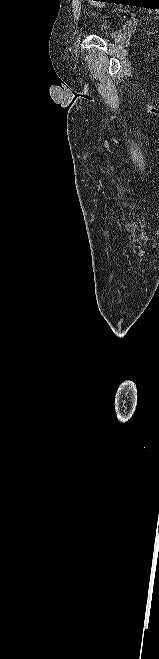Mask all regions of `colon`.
Wrapping results in <instances>:
<instances>
[{"label":"colon","instance_id":"colon-1","mask_svg":"<svg viewBox=\"0 0 159 659\" xmlns=\"http://www.w3.org/2000/svg\"><path fill=\"white\" fill-rule=\"evenodd\" d=\"M89 1H90L91 3H93V2H95V1H97V0H89Z\"/></svg>","mask_w":159,"mask_h":659}]
</instances>
